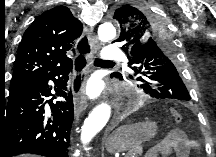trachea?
Masks as SVG:
<instances>
[{
  "mask_svg": "<svg viewBox=\"0 0 216 157\" xmlns=\"http://www.w3.org/2000/svg\"><path fill=\"white\" fill-rule=\"evenodd\" d=\"M79 49L81 52H83L84 50H86V48L88 47V40L86 37H84L82 39V41L79 43ZM111 63H114L112 61H104V60H101V59H96L94 61V64L95 65H105V64H111Z\"/></svg>",
  "mask_w": 216,
  "mask_h": 157,
  "instance_id": "3493384b",
  "label": "trachea"
}]
</instances>
